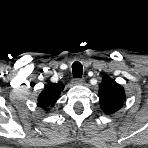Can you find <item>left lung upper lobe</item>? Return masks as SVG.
I'll return each mask as SVG.
<instances>
[{
  "mask_svg": "<svg viewBox=\"0 0 148 148\" xmlns=\"http://www.w3.org/2000/svg\"><path fill=\"white\" fill-rule=\"evenodd\" d=\"M100 106L106 114L117 112L126 99L124 88L109 76H104L99 85Z\"/></svg>",
  "mask_w": 148,
  "mask_h": 148,
  "instance_id": "left-lung-upper-lobe-1",
  "label": "left lung upper lobe"
}]
</instances>
